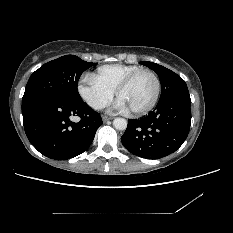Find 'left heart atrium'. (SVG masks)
<instances>
[{"mask_svg":"<svg viewBox=\"0 0 233 233\" xmlns=\"http://www.w3.org/2000/svg\"><path fill=\"white\" fill-rule=\"evenodd\" d=\"M127 107L126 105L124 104V102L121 100V99H117V101L114 103L113 105V109L115 110H125Z\"/></svg>","mask_w":233,"mask_h":233,"instance_id":"39dd6f15","label":"left heart atrium"}]
</instances>
